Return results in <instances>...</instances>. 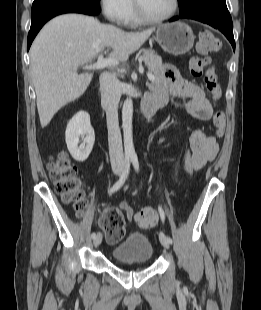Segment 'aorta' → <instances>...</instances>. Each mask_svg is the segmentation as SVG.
I'll use <instances>...</instances> for the list:
<instances>
[{
    "label": "aorta",
    "mask_w": 261,
    "mask_h": 310,
    "mask_svg": "<svg viewBox=\"0 0 261 310\" xmlns=\"http://www.w3.org/2000/svg\"><path fill=\"white\" fill-rule=\"evenodd\" d=\"M132 117H133V101L129 97L124 101L122 108V128H123L124 149L126 156L135 155V149L133 145Z\"/></svg>",
    "instance_id": "aorta-1"
}]
</instances>
